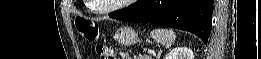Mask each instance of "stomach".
Masks as SVG:
<instances>
[{"label": "stomach", "mask_w": 261, "mask_h": 59, "mask_svg": "<svg viewBox=\"0 0 261 59\" xmlns=\"http://www.w3.org/2000/svg\"><path fill=\"white\" fill-rule=\"evenodd\" d=\"M114 39L122 45H133L139 40L137 32L129 26L118 28L114 34Z\"/></svg>", "instance_id": "0dacf381"}]
</instances>
